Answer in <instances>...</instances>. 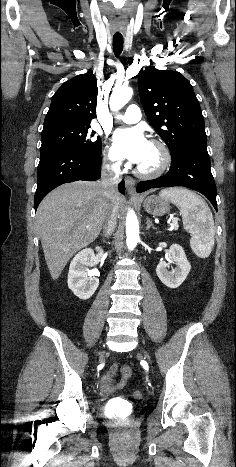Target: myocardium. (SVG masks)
I'll return each mask as SVG.
<instances>
[{"mask_svg": "<svg viewBox=\"0 0 236 467\" xmlns=\"http://www.w3.org/2000/svg\"><path fill=\"white\" fill-rule=\"evenodd\" d=\"M152 146H154L160 154V162L159 164L151 170H146L141 168L139 165L135 169V173L145 179H152L157 178L163 175L171 166L172 163V156L168 146L160 139H152L149 142Z\"/></svg>", "mask_w": 236, "mask_h": 467, "instance_id": "obj_1", "label": "myocardium"}]
</instances>
